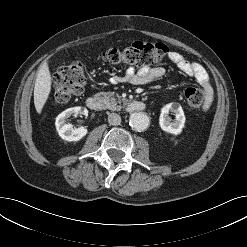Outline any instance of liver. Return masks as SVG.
<instances>
[{"label":"liver","instance_id":"obj_1","mask_svg":"<svg viewBox=\"0 0 247 247\" xmlns=\"http://www.w3.org/2000/svg\"><path fill=\"white\" fill-rule=\"evenodd\" d=\"M52 78L48 64H43L38 72L34 86V105L40 114L51 92Z\"/></svg>","mask_w":247,"mask_h":247}]
</instances>
